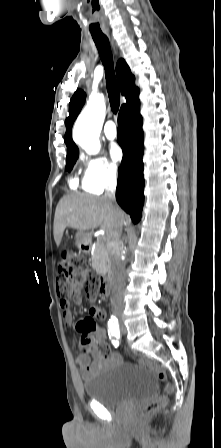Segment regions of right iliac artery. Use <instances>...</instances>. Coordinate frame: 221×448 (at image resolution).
Returning a JSON list of instances; mask_svg holds the SVG:
<instances>
[{
	"instance_id": "right-iliac-artery-1",
	"label": "right iliac artery",
	"mask_w": 221,
	"mask_h": 448,
	"mask_svg": "<svg viewBox=\"0 0 221 448\" xmlns=\"http://www.w3.org/2000/svg\"><path fill=\"white\" fill-rule=\"evenodd\" d=\"M108 326H109V335L111 334L112 336L119 338L120 337V329H119L118 320L115 317H112V319H110L108 322Z\"/></svg>"
}]
</instances>
